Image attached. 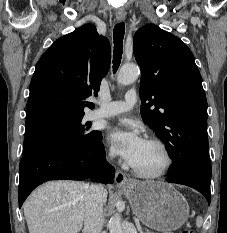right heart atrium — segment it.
I'll return each instance as SVG.
<instances>
[{
	"label": "right heart atrium",
	"mask_w": 227,
	"mask_h": 233,
	"mask_svg": "<svg viewBox=\"0 0 227 233\" xmlns=\"http://www.w3.org/2000/svg\"><path fill=\"white\" fill-rule=\"evenodd\" d=\"M114 158V152L111 149H108L105 153V159L108 162H111Z\"/></svg>",
	"instance_id": "1"
}]
</instances>
